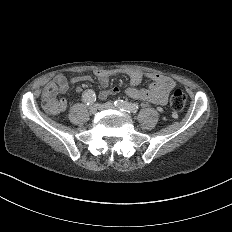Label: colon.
<instances>
[{
	"label": "colon",
	"instance_id": "colon-1",
	"mask_svg": "<svg viewBox=\"0 0 232 232\" xmlns=\"http://www.w3.org/2000/svg\"><path fill=\"white\" fill-rule=\"evenodd\" d=\"M170 113H183V108H186L185 94L183 90L179 88H173L169 92ZM59 96H48V98L42 99V104L47 108L48 113H63L65 109L64 105H57Z\"/></svg>",
	"mask_w": 232,
	"mask_h": 232
}]
</instances>
